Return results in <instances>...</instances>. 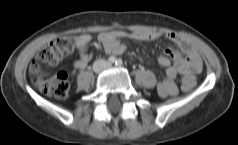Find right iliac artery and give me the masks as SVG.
<instances>
[{"label":"right iliac artery","instance_id":"obj_1","mask_svg":"<svg viewBox=\"0 0 238 145\" xmlns=\"http://www.w3.org/2000/svg\"><path fill=\"white\" fill-rule=\"evenodd\" d=\"M108 63H110V64L116 63V58L114 56H110L108 58Z\"/></svg>","mask_w":238,"mask_h":145}]
</instances>
